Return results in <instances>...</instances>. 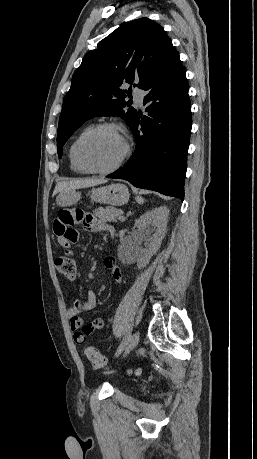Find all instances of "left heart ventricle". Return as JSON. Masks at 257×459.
I'll return each mask as SVG.
<instances>
[{"label": "left heart ventricle", "instance_id": "b2bd125f", "mask_svg": "<svg viewBox=\"0 0 257 459\" xmlns=\"http://www.w3.org/2000/svg\"><path fill=\"white\" fill-rule=\"evenodd\" d=\"M124 139L114 130L103 129L92 134L81 146L83 161L95 168L115 164L124 152Z\"/></svg>", "mask_w": 257, "mask_h": 459}]
</instances>
